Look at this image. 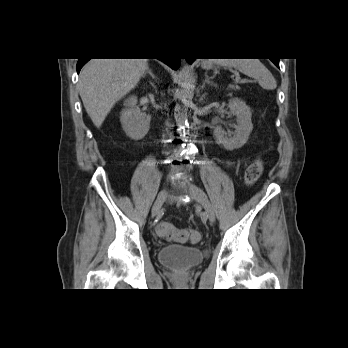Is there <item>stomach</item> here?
Segmentation results:
<instances>
[{"label": "stomach", "instance_id": "0dacf381", "mask_svg": "<svg viewBox=\"0 0 348 348\" xmlns=\"http://www.w3.org/2000/svg\"><path fill=\"white\" fill-rule=\"evenodd\" d=\"M204 67L210 68V67H211V64H210L209 62H206V63L204 64Z\"/></svg>", "mask_w": 348, "mask_h": 348}]
</instances>
